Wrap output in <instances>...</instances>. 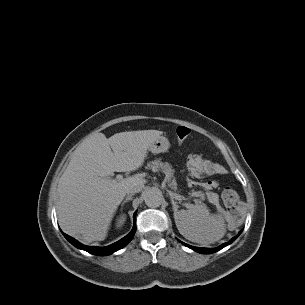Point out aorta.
<instances>
[{
    "label": "aorta",
    "instance_id": "1",
    "mask_svg": "<svg viewBox=\"0 0 305 305\" xmlns=\"http://www.w3.org/2000/svg\"><path fill=\"white\" fill-rule=\"evenodd\" d=\"M162 200V195L156 190H148L144 195V201L148 207H159L162 204Z\"/></svg>",
    "mask_w": 305,
    "mask_h": 305
}]
</instances>
